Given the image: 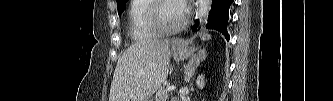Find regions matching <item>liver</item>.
Masks as SVG:
<instances>
[{
    "label": "liver",
    "mask_w": 333,
    "mask_h": 101,
    "mask_svg": "<svg viewBox=\"0 0 333 101\" xmlns=\"http://www.w3.org/2000/svg\"><path fill=\"white\" fill-rule=\"evenodd\" d=\"M169 61L168 39L134 43L118 59L109 101H147L164 82Z\"/></svg>",
    "instance_id": "1"
}]
</instances>
